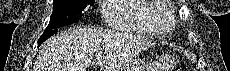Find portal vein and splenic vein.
Masks as SVG:
<instances>
[{
	"mask_svg": "<svg viewBox=\"0 0 230 71\" xmlns=\"http://www.w3.org/2000/svg\"><path fill=\"white\" fill-rule=\"evenodd\" d=\"M102 57V53L96 54V59H100Z\"/></svg>",
	"mask_w": 230,
	"mask_h": 71,
	"instance_id": "obj_1",
	"label": "portal vein and splenic vein"
}]
</instances>
